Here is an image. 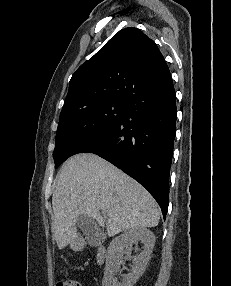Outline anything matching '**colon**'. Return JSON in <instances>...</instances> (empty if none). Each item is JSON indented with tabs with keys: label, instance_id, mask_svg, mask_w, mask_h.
<instances>
[{
	"label": "colon",
	"instance_id": "obj_1",
	"mask_svg": "<svg viewBox=\"0 0 231 286\" xmlns=\"http://www.w3.org/2000/svg\"><path fill=\"white\" fill-rule=\"evenodd\" d=\"M56 286H81V284L76 280H63L58 282Z\"/></svg>",
	"mask_w": 231,
	"mask_h": 286
}]
</instances>
